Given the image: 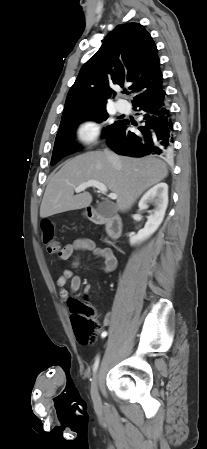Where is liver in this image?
Returning a JSON list of instances; mask_svg holds the SVG:
<instances>
[{
	"label": "liver",
	"instance_id": "obj_1",
	"mask_svg": "<svg viewBox=\"0 0 207 449\" xmlns=\"http://www.w3.org/2000/svg\"><path fill=\"white\" fill-rule=\"evenodd\" d=\"M118 158L119 165L115 166L105 152L90 151L66 161L46 187L40 217L89 206L92 202L89 192L74 195L75 188L89 180L105 184L117 195L118 210L125 212L144 191L168 175L166 164L157 158Z\"/></svg>",
	"mask_w": 207,
	"mask_h": 449
}]
</instances>
